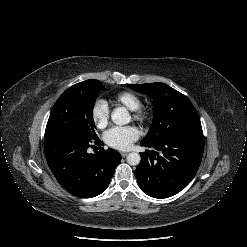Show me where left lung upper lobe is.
Returning a JSON list of instances; mask_svg holds the SVG:
<instances>
[{"mask_svg": "<svg viewBox=\"0 0 247 247\" xmlns=\"http://www.w3.org/2000/svg\"><path fill=\"white\" fill-rule=\"evenodd\" d=\"M154 100V118L142 142L158 143L175 138L204 140L201 122L191 101L164 83L126 84Z\"/></svg>", "mask_w": 247, "mask_h": 247, "instance_id": "obj_1", "label": "left lung upper lobe"}]
</instances>
